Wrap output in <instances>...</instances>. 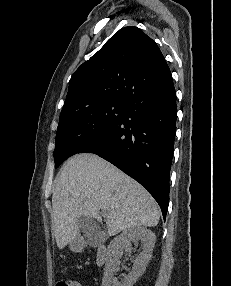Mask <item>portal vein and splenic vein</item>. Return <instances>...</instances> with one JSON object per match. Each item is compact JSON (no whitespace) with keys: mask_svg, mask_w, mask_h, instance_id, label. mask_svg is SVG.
Instances as JSON below:
<instances>
[{"mask_svg":"<svg viewBox=\"0 0 231 286\" xmlns=\"http://www.w3.org/2000/svg\"><path fill=\"white\" fill-rule=\"evenodd\" d=\"M101 213H102L103 215H105V214H106V210H105V209H101Z\"/></svg>","mask_w":231,"mask_h":286,"instance_id":"18ae733b","label":"portal vein and splenic vein"}]
</instances>
